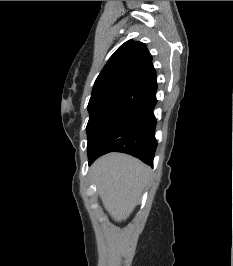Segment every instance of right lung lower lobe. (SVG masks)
<instances>
[{"instance_id":"obj_1","label":"right lung lower lobe","mask_w":233,"mask_h":266,"mask_svg":"<svg viewBox=\"0 0 233 266\" xmlns=\"http://www.w3.org/2000/svg\"><path fill=\"white\" fill-rule=\"evenodd\" d=\"M156 89L135 108L115 131L94 152L88 154L89 164L111 151L130 154L148 165H153L157 142L155 139Z\"/></svg>"}]
</instances>
